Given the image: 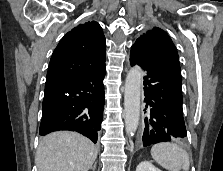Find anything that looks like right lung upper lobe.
<instances>
[{
	"label": "right lung upper lobe",
	"instance_id": "cb5924a9",
	"mask_svg": "<svg viewBox=\"0 0 223 171\" xmlns=\"http://www.w3.org/2000/svg\"><path fill=\"white\" fill-rule=\"evenodd\" d=\"M105 45L102 28L97 22L74 27L52 54L45 89L82 79L105 66Z\"/></svg>",
	"mask_w": 223,
	"mask_h": 171
}]
</instances>
